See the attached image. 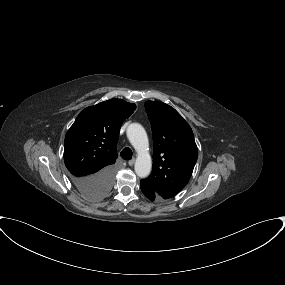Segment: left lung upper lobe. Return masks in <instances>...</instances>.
<instances>
[{
  "instance_id": "1",
  "label": "left lung upper lobe",
  "mask_w": 285,
  "mask_h": 285,
  "mask_svg": "<svg viewBox=\"0 0 285 285\" xmlns=\"http://www.w3.org/2000/svg\"><path fill=\"white\" fill-rule=\"evenodd\" d=\"M152 126L153 170L144 179L159 196L168 199L179 193L191 178L198 149L191 127L171 106L145 102Z\"/></svg>"
}]
</instances>
